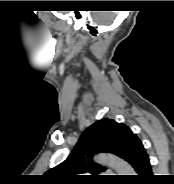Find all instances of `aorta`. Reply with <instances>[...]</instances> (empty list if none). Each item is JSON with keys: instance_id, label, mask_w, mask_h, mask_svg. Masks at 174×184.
<instances>
[{"instance_id": "762f6f07", "label": "aorta", "mask_w": 174, "mask_h": 184, "mask_svg": "<svg viewBox=\"0 0 174 184\" xmlns=\"http://www.w3.org/2000/svg\"><path fill=\"white\" fill-rule=\"evenodd\" d=\"M95 161L113 168L119 175H133L132 173H134L126 161L109 153L97 155Z\"/></svg>"}]
</instances>
